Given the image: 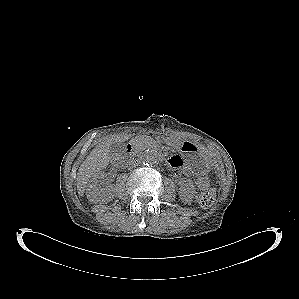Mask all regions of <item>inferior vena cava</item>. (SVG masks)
Returning a JSON list of instances; mask_svg holds the SVG:
<instances>
[{
  "mask_svg": "<svg viewBox=\"0 0 299 299\" xmlns=\"http://www.w3.org/2000/svg\"><path fill=\"white\" fill-rule=\"evenodd\" d=\"M129 165H130L131 167H136V166L138 165V163H137L136 161H131V162L129 163Z\"/></svg>",
  "mask_w": 299,
  "mask_h": 299,
  "instance_id": "1",
  "label": "inferior vena cava"
}]
</instances>
